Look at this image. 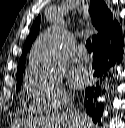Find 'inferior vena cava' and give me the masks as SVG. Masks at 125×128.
<instances>
[{
	"instance_id": "1",
	"label": "inferior vena cava",
	"mask_w": 125,
	"mask_h": 128,
	"mask_svg": "<svg viewBox=\"0 0 125 128\" xmlns=\"http://www.w3.org/2000/svg\"><path fill=\"white\" fill-rule=\"evenodd\" d=\"M68 116L71 119V124L68 127L69 128H79L80 127L79 126L80 125V118L78 117L76 112H73V111L69 110Z\"/></svg>"
}]
</instances>
